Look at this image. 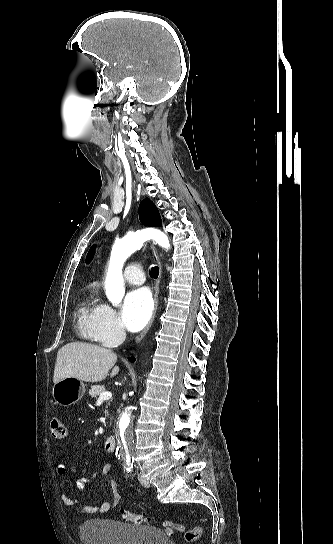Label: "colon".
I'll return each instance as SVG.
<instances>
[{"mask_svg": "<svg viewBox=\"0 0 333 544\" xmlns=\"http://www.w3.org/2000/svg\"><path fill=\"white\" fill-rule=\"evenodd\" d=\"M51 434L56 439H65L68 436V429L66 425L58 418H54L51 421ZM121 515L124 520L135 524H148L149 518L141 514H135L129 511H122ZM164 529L168 534L175 532H184L185 540L189 543L196 542L200 536L202 529L199 525H194L189 529H186L184 525L170 520H165L162 523Z\"/></svg>", "mask_w": 333, "mask_h": 544, "instance_id": "colon-1", "label": "colon"}]
</instances>
